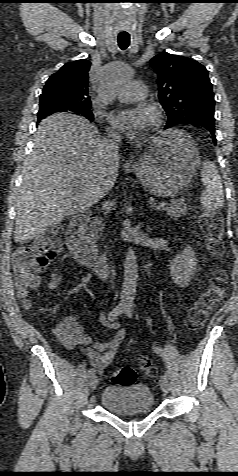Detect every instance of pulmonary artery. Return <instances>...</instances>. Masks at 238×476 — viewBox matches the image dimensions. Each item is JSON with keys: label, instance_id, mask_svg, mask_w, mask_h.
Instances as JSON below:
<instances>
[{"label": "pulmonary artery", "instance_id": "1", "mask_svg": "<svg viewBox=\"0 0 238 476\" xmlns=\"http://www.w3.org/2000/svg\"><path fill=\"white\" fill-rule=\"evenodd\" d=\"M146 86L143 82L133 80L128 82L118 93L117 98L120 102L129 103L144 99L146 96Z\"/></svg>", "mask_w": 238, "mask_h": 476}]
</instances>
